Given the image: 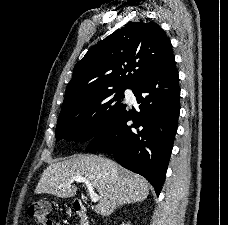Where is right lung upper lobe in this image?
Instances as JSON below:
<instances>
[{
    "label": "right lung upper lobe",
    "instance_id": "1",
    "mask_svg": "<svg viewBox=\"0 0 228 225\" xmlns=\"http://www.w3.org/2000/svg\"><path fill=\"white\" fill-rule=\"evenodd\" d=\"M172 56L171 42L157 23L128 22L75 65L62 106L114 87L134 88Z\"/></svg>",
    "mask_w": 228,
    "mask_h": 225
}]
</instances>
